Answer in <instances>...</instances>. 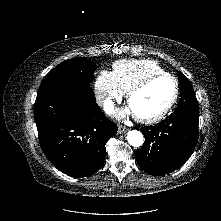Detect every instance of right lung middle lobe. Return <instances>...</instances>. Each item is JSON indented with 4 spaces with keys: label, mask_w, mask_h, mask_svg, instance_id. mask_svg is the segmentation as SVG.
<instances>
[{
    "label": "right lung middle lobe",
    "mask_w": 221,
    "mask_h": 221,
    "mask_svg": "<svg viewBox=\"0 0 221 221\" xmlns=\"http://www.w3.org/2000/svg\"><path fill=\"white\" fill-rule=\"evenodd\" d=\"M97 69L93 61L87 59H69L48 73L39 90L65 87L77 83H90Z\"/></svg>",
    "instance_id": "dd1d6c3e"
}]
</instances>
